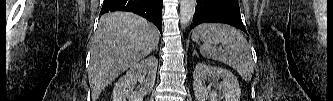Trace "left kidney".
Wrapping results in <instances>:
<instances>
[{
	"instance_id": "1",
	"label": "left kidney",
	"mask_w": 333,
	"mask_h": 101,
	"mask_svg": "<svg viewBox=\"0 0 333 101\" xmlns=\"http://www.w3.org/2000/svg\"><path fill=\"white\" fill-rule=\"evenodd\" d=\"M208 77L222 79L217 84V88L222 91L224 101H239L241 90L235 75L228 69L207 66L203 63H198L193 73L194 94L197 101H220L215 90L211 91V87L205 85Z\"/></svg>"
}]
</instances>
